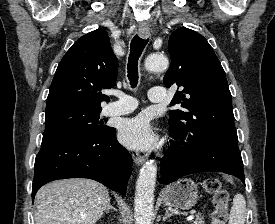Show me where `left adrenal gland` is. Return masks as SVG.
<instances>
[{"label": "left adrenal gland", "instance_id": "1", "mask_svg": "<svg viewBox=\"0 0 275 224\" xmlns=\"http://www.w3.org/2000/svg\"><path fill=\"white\" fill-rule=\"evenodd\" d=\"M172 214L169 213L168 209H166L165 216L163 217V221H166L168 218H170Z\"/></svg>", "mask_w": 275, "mask_h": 224}]
</instances>
